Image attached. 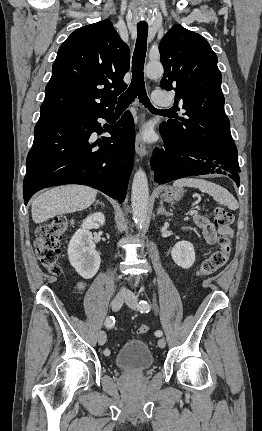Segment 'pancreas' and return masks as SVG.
Listing matches in <instances>:
<instances>
[{
	"mask_svg": "<svg viewBox=\"0 0 262 431\" xmlns=\"http://www.w3.org/2000/svg\"><path fill=\"white\" fill-rule=\"evenodd\" d=\"M193 220L195 223H198V215H194Z\"/></svg>",
	"mask_w": 262,
	"mask_h": 431,
	"instance_id": "obj_1",
	"label": "pancreas"
}]
</instances>
